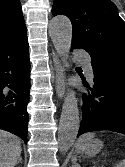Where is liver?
<instances>
[{
  "instance_id": "liver-1",
  "label": "liver",
  "mask_w": 125,
  "mask_h": 167,
  "mask_svg": "<svg viewBox=\"0 0 125 167\" xmlns=\"http://www.w3.org/2000/svg\"><path fill=\"white\" fill-rule=\"evenodd\" d=\"M20 139L0 130V167H14L21 155Z\"/></svg>"
}]
</instances>
